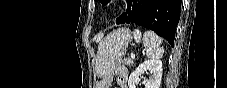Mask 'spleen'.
I'll return each mask as SVG.
<instances>
[{
  "instance_id": "1",
  "label": "spleen",
  "mask_w": 227,
  "mask_h": 88,
  "mask_svg": "<svg viewBox=\"0 0 227 88\" xmlns=\"http://www.w3.org/2000/svg\"><path fill=\"white\" fill-rule=\"evenodd\" d=\"M135 41L142 43L146 49L148 58L159 59L163 56L164 50L161 47L162 39L153 31H146L143 35L139 29L133 31Z\"/></svg>"
}]
</instances>
